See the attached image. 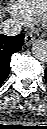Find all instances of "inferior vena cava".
Segmentation results:
<instances>
[{
	"label": "inferior vena cava",
	"instance_id": "602c4592",
	"mask_svg": "<svg viewBox=\"0 0 47 129\" xmlns=\"http://www.w3.org/2000/svg\"><path fill=\"white\" fill-rule=\"evenodd\" d=\"M21 30V23L14 19H7L0 24V33L7 36L18 35Z\"/></svg>",
	"mask_w": 47,
	"mask_h": 129
}]
</instances>
